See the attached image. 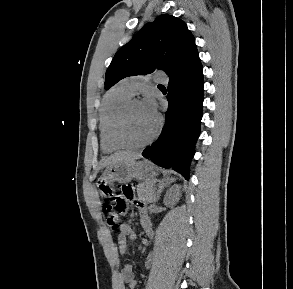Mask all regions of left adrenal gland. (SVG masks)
<instances>
[{"instance_id": "left-adrenal-gland-1", "label": "left adrenal gland", "mask_w": 293, "mask_h": 289, "mask_svg": "<svg viewBox=\"0 0 293 289\" xmlns=\"http://www.w3.org/2000/svg\"><path fill=\"white\" fill-rule=\"evenodd\" d=\"M176 179L173 177H167L164 180L160 181L157 188V199L159 200L161 192L164 190L165 187H168L172 182H174Z\"/></svg>"}]
</instances>
